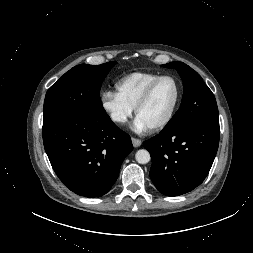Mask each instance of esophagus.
Wrapping results in <instances>:
<instances>
[{"label":"esophagus","instance_id":"1","mask_svg":"<svg viewBox=\"0 0 253 253\" xmlns=\"http://www.w3.org/2000/svg\"><path fill=\"white\" fill-rule=\"evenodd\" d=\"M131 141L134 147H139L142 144V141L137 138H131Z\"/></svg>","mask_w":253,"mask_h":253}]
</instances>
